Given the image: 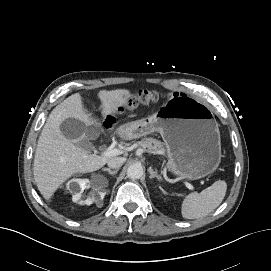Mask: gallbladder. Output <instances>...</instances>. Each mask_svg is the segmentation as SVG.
I'll return each instance as SVG.
<instances>
[{
    "mask_svg": "<svg viewBox=\"0 0 271 271\" xmlns=\"http://www.w3.org/2000/svg\"><path fill=\"white\" fill-rule=\"evenodd\" d=\"M60 131L65 138L75 141L83 135L86 137H94L99 133V128L94 124L87 125L77 119L67 118L61 123ZM76 144L85 150L92 149V145L86 140H81Z\"/></svg>",
    "mask_w": 271,
    "mask_h": 271,
    "instance_id": "bac80fb5",
    "label": "gallbladder"
}]
</instances>
